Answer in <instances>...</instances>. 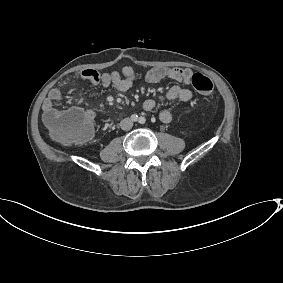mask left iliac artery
I'll list each match as a JSON object with an SVG mask.
<instances>
[{
    "label": "left iliac artery",
    "instance_id": "44dca946",
    "mask_svg": "<svg viewBox=\"0 0 283 283\" xmlns=\"http://www.w3.org/2000/svg\"><path fill=\"white\" fill-rule=\"evenodd\" d=\"M139 122H140V123H144V122H145V119H144L143 117H140V118H139Z\"/></svg>",
    "mask_w": 283,
    "mask_h": 283
}]
</instances>
